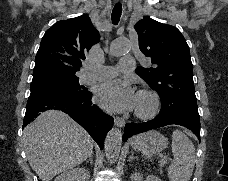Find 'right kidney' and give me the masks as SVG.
Segmentation results:
<instances>
[{
	"label": "right kidney",
	"mask_w": 228,
	"mask_h": 181,
	"mask_svg": "<svg viewBox=\"0 0 228 181\" xmlns=\"http://www.w3.org/2000/svg\"><path fill=\"white\" fill-rule=\"evenodd\" d=\"M90 173L85 169H70V171H64L62 175H58L55 181H89Z\"/></svg>",
	"instance_id": "ca27d5eb"
}]
</instances>
